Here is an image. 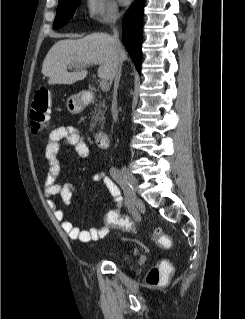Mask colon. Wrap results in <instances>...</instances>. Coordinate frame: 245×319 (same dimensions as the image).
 Listing matches in <instances>:
<instances>
[{
    "instance_id": "1",
    "label": "colon",
    "mask_w": 245,
    "mask_h": 319,
    "mask_svg": "<svg viewBox=\"0 0 245 319\" xmlns=\"http://www.w3.org/2000/svg\"><path fill=\"white\" fill-rule=\"evenodd\" d=\"M51 97L46 88L38 89L32 99L30 119L34 134L44 130L45 124L50 115ZM106 222L113 228L130 230L132 222L127 217L119 216L116 212L110 211L106 215ZM153 237L164 248H171L173 241L163 234L162 230L156 228L153 231ZM166 267L163 264L153 268L146 278L148 285L156 286L164 281Z\"/></svg>"
}]
</instances>
